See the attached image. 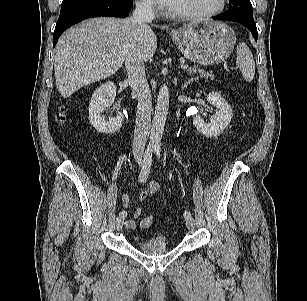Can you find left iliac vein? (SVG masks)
Instances as JSON below:
<instances>
[{
	"label": "left iliac vein",
	"mask_w": 307,
	"mask_h": 301,
	"mask_svg": "<svg viewBox=\"0 0 307 301\" xmlns=\"http://www.w3.org/2000/svg\"><path fill=\"white\" fill-rule=\"evenodd\" d=\"M186 226L190 231L194 230L195 227V223H194V219L192 217L187 218L186 219Z\"/></svg>",
	"instance_id": "4c4485c4"
}]
</instances>
